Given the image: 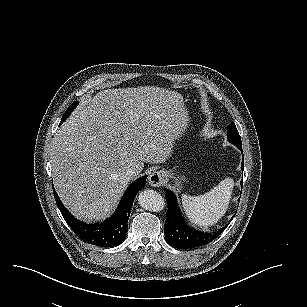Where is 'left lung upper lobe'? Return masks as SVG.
<instances>
[{
    "label": "left lung upper lobe",
    "instance_id": "5c2ea615",
    "mask_svg": "<svg viewBox=\"0 0 307 307\" xmlns=\"http://www.w3.org/2000/svg\"><path fill=\"white\" fill-rule=\"evenodd\" d=\"M227 138H228V141L230 143L234 144L239 149L242 148V143H241L240 135L238 133V130H237L234 122H232L230 125H228Z\"/></svg>",
    "mask_w": 307,
    "mask_h": 307
}]
</instances>
